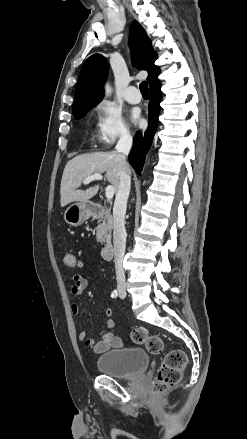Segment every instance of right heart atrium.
I'll return each instance as SVG.
<instances>
[{"mask_svg": "<svg viewBox=\"0 0 247 439\" xmlns=\"http://www.w3.org/2000/svg\"><path fill=\"white\" fill-rule=\"evenodd\" d=\"M96 111V140L101 146L109 147L117 140L130 137L129 126L115 106L104 101L97 106Z\"/></svg>", "mask_w": 247, "mask_h": 439, "instance_id": "1", "label": "right heart atrium"}]
</instances>
